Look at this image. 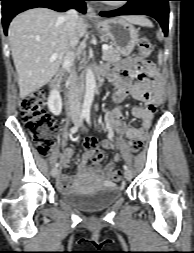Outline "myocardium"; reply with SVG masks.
<instances>
[{
  "label": "myocardium",
  "mask_w": 194,
  "mask_h": 253,
  "mask_svg": "<svg viewBox=\"0 0 194 253\" xmlns=\"http://www.w3.org/2000/svg\"><path fill=\"white\" fill-rule=\"evenodd\" d=\"M110 5L115 6V7H120V6H122V2H113Z\"/></svg>",
  "instance_id": "f54148a6"
}]
</instances>
